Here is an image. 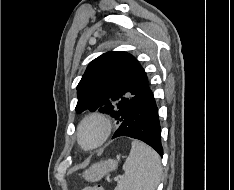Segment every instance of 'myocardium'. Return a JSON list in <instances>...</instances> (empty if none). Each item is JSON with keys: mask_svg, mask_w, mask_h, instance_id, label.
I'll list each match as a JSON object with an SVG mask.
<instances>
[{"mask_svg": "<svg viewBox=\"0 0 234 190\" xmlns=\"http://www.w3.org/2000/svg\"><path fill=\"white\" fill-rule=\"evenodd\" d=\"M90 126H97L99 129V137L92 144H85L82 139V134L84 130ZM112 125L107 116L101 113H92L86 116L79 124L77 129V140L82 148L86 150H93L105 143L111 134Z\"/></svg>", "mask_w": 234, "mask_h": 190, "instance_id": "1", "label": "myocardium"}]
</instances>
